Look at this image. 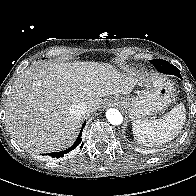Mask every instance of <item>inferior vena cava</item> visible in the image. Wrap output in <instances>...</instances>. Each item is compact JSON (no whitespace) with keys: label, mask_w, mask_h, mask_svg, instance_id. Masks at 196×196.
<instances>
[{"label":"inferior vena cava","mask_w":196,"mask_h":196,"mask_svg":"<svg viewBox=\"0 0 196 196\" xmlns=\"http://www.w3.org/2000/svg\"><path fill=\"white\" fill-rule=\"evenodd\" d=\"M87 110H88L87 105L81 101H76L72 103L69 107L70 115L76 118H81L82 116H84Z\"/></svg>","instance_id":"obj_1"}]
</instances>
